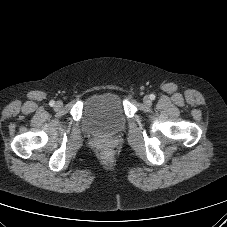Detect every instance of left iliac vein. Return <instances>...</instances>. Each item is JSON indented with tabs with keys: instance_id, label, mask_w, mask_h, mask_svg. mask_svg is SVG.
Returning <instances> with one entry per match:
<instances>
[{
	"instance_id": "left-iliac-vein-1",
	"label": "left iliac vein",
	"mask_w": 227,
	"mask_h": 227,
	"mask_svg": "<svg viewBox=\"0 0 227 227\" xmlns=\"http://www.w3.org/2000/svg\"><path fill=\"white\" fill-rule=\"evenodd\" d=\"M143 102H144L145 105L150 106L151 105V99H150V97L149 96H145L143 98Z\"/></svg>"
}]
</instances>
